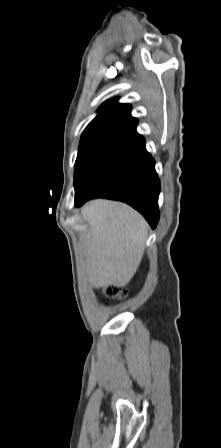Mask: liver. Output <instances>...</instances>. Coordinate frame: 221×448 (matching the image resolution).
I'll list each match as a JSON object with an SVG mask.
<instances>
[{
	"label": "liver",
	"instance_id": "1",
	"mask_svg": "<svg viewBox=\"0 0 221 448\" xmlns=\"http://www.w3.org/2000/svg\"><path fill=\"white\" fill-rule=\"evenodd\" d=\"M81 212L89 224L82 236L89 282L97 287H124L142 260L147 222L132 207L106 199L89 202Z\"/></svg>",
	"mask_w": 221,
	"mask_h": 448
}]
</instances>
